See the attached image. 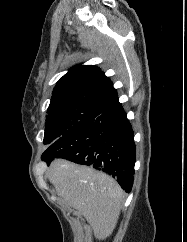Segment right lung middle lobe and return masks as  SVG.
I'll return each mask as SVG.
<instances>
[{"mask_svg":"<svg viewBox=\"0 0 187 242\" xmlns=\"http://www.w3.org/2000/svg\"><path fill=\"white\" fill-rule=\"evenodd\" d=\"M103 111L102 107L85 104L66 105L48 110L43 143L51 145L66 133L97 118Z\"/></svg>","mask_w":187,"mask_h":242,"instance_id":"obj_1","label":"right lung middle lobe"}]
</instances>
